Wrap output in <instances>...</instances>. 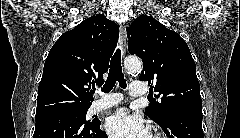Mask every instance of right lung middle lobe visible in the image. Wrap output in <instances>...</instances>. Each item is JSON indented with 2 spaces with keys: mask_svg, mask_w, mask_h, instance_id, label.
<instances>
[{
  "mask_svg": "<svg viewBox=\"0 0 240 138\" xmlns=\"http://www.w3.org/2000/svg\"><path fill=\"white\" fill-rule=\"evenodd\" d=\"M88 109L89 107L71 108V109L60 110V111H55L51 113L40 114L35 116V120L39 121V120H43L53 116L70 114L77 117L83 123L90 124L91 123L90 121L86 122V114Z\"/></svg>",
  "mask_w": 240,
  "mask_h": 138,
  "instance_id": "dd1d6c3e",
  "label": "right lung middle lobe"
}]
</instances>
